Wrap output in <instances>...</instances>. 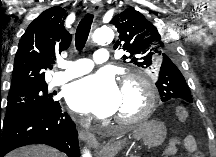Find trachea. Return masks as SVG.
<instances>
[{"label":"trachea","mask_w":216,"mask_h":157,"mask_svg":"<svg viewBox=\"0 0 216 157\" xmlns=\"http://www.w3.org/2000/svg\"><path fill=\"white\" fill-rule=\"evenodd\" d=\"M93 18V14H86L77 27L75 34V46L78 51H81L85 46V43L90 33Z\"/></svg>","instance_id":"obj_1"}]
</instances>
